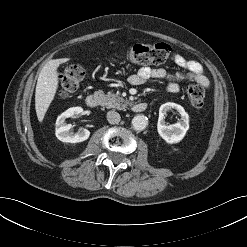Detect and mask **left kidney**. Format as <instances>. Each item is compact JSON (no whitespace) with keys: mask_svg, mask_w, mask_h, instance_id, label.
I'll return each mask as SVG.
<instances>
[{"mask_svg":"<svg viewBox=\"0 0 247 247\" xmlns=\"http://www.w3.org/2000/svg\"><path fill=\"white\" fill-rule=\"evenodd\" d=\"M171 109H175L179 112V114L181 115V121L168 126L165 124L164 118L166 113ZM188 129L189 115L181 105L172 102H167L160 106L157 130L159 135L167 143L174 144L180 142L186 135Z\"/></svg>","mask_w":247,"mask_h":247,"instance_id":"5707ae66","label":"left kidney"}]
</instances>
